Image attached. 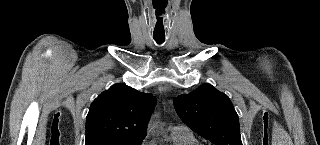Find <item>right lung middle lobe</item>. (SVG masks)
I'll return each instance as SVG.
<instances>
[{"mask_svg": "<svg viewBox=\"0 0 320 145\" xmlns=\"http://www.w3.org/2000/svg\"><path fill=\"white\" fill-rule=\"evenodd\" d=\"M142 139L134 141H125V140H100L90 145H141Z\"/></svg>", "mask_w": 320, "mask_h": 145, "instance_id": "1", "label": "right lung middle lobe"}]
</instances>
